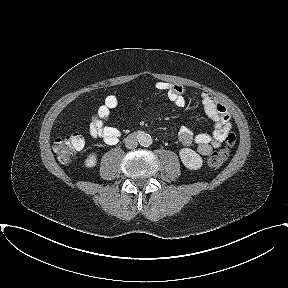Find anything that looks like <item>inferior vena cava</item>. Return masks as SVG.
Masks as SVG:
<instances>
[{
    "label": "inferior vena cava",
    "mask_w": 288,
    "mask_h": 288,
    "mask_svg": "<svg viewBox=\"0 0 288 288\" xmlns=\"http://www.w3.org/2000/svg\"><path fill=\"white\" fill-rule=\"evenodd\" d=\"M124 141L128 149H135L138 146V138L133 134L128 135Z\"/></svg>",
    "instance_id": "inferior-vena-cava-1"
}]
</instances>
